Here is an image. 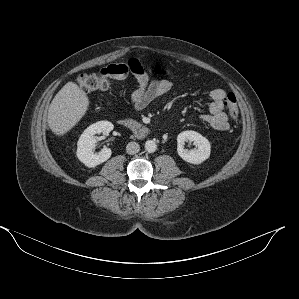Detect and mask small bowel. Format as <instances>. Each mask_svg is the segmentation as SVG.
I'll return each instance as SVG.
<instances>
[{"label": "small bowel", "instance_id": "1", "mask_svg": "<svg viewBox=\"0 0 299 299\" xmlns=\"http://www.w3.org/2000/svg\"><path fill=\"white\" fill-rule=\"evenodd\" d=\"M122 66L126 72L120 79H126L132 74L138 86L131 95V105L135 109H143L150 105L155 99L166 94L172 87V83L164 78L150 79L142 64L132 59L127 64H118ZM156 74L164 75L166 70L156 68ZM226 92L223 89L216 88L210 92L209 114L202 115V120L206 122L212 129L223 132L229 128L228 118L224 112Z\"/></svg>", "mask_w": 299, "mask_h": 299}]
</instances>
